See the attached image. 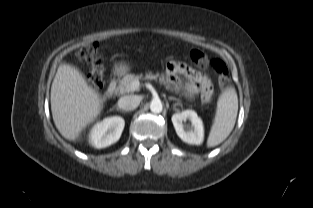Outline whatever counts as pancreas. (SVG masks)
Instances as JSON below:
<instances>
[{"mask_svg": "<svg viewBox=\"0 0 313 208\" xmlns=\"http://www.w3.org/2000/svg\"><path fill=\"white\" fill-rule=\"evenodd\" d=\"M140 79V76H136L134 74H127L121 80H119V85L116 88L115 94L123 95L129 92L139 91V87H133V82ZM146 79L157 80L161 84H166L164 76L159 74L153 75L152 73L146 74Z\"/></svg>", "mask_w": 313, "mask_h": 208, "instance_id": "cf45deb5", "label": "pancreas"}]
</instances>
